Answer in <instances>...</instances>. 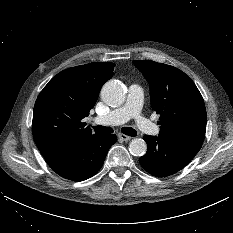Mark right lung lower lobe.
I'll use <instances>...</instances> for the list:
<instances>
[{
  "label": "right lung lower lobe",
  "instance_id": "98d812e1",
  "mask_svg": "<svg viewBox=\"0 0 233 233\" xmlns=\"http://www.w3.org/2000/svg\"><path fill=\"white\" fill-rule=\"evenodd\" d=\"M116 135H96L71 147L44 157L58 175L73 181H83L95 175L102 167Z\"/></svg>",
  "mask_w": 233,
  "mask_h": 233
}]
</instances>
